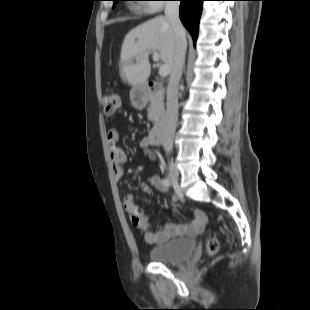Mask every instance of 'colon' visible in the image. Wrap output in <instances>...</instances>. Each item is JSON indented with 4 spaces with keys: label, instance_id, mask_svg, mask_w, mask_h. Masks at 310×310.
Masks as SVG:
<instances>
[{
    "label": "colon",
    "instance_id": "obj_1",
    "mask_svg": "<svg viewBox=\"0 0 310 310\" xmlns=\"http://www.w3.org/2000/svg\"><path fill=\"white\" fill-rule=\"evenodd\" d=\"M119 97L116 94L109 93L105 94L101 98V105L106 114H114L119 107ZM207 253L209 255H214L219 249V242L216 238L211 237L207 241Z\"/></svg>",
    "mask_w": 310,
    "mask_h": 310
}]
</instances>
